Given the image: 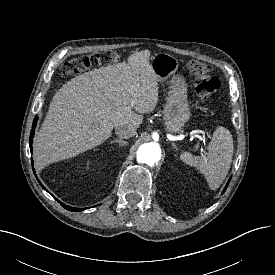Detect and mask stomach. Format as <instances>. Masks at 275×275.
Returning a JSON list of instances; mask_svg holds the SVG:
<instances>
[{
  "label": "stomach",
  "instance_id": "1",
  "mask_svg": "<svg viewBox=\"0 0 275 275\" xmlns=\"http://www.w3.org/2000/svg\"><path fill=\"white\" fill-rule=\"evenodd\" d=\"M178 60L166 53H157L151 58V67L159 82L169 81V93L163 109L165 128L171 133H181L190 117L187 101V84L181 74H176Z\"/></svg>",
  "mask_w": 275,
  "mask_h": 275
}]
</instances>
